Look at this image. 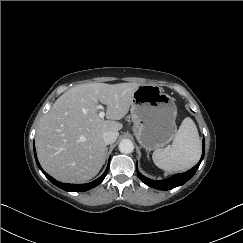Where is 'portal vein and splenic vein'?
I'll use <instances>...</instances> for the list:
<instances>
[{
	"label": "portal vein and splenic vein",
	"instance_id": "1",
	"mask_svg": "<svg viewBox=\"0 0 243 243\" xmlns=\"http://www.w3.org/2000/svg\"><path fill=\"white\" fill-rule=\"evenodd\" d=\"M99 109H100V112H99V117L100 118H104L105 116V111H104V107L102 105H99Z\"/></svg>",
	"mask_w": 243,
	"mask_h": 243
}]
</instances>
